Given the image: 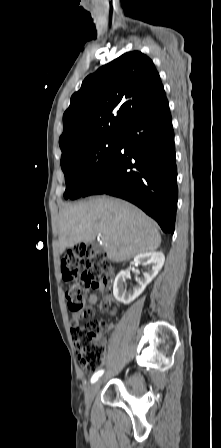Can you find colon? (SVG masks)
Segmentation results:
<instances>
[{
    "mask_svg": "<svg viewBox=\"0 0 221 448\" xmlns=\"http://www.w3.org/2000/svg\"><path fill=\"white\" fill-rule=\"evenodd\" d=\"M61 272L69 283L66 289L68 308L81 312L85 318L83 325L72 329L79 362L86 372L93 373L104 362L107 323L93 318L92 311L86 308V301L90 290L108 287L111 264L103 251L93 246L76 245L63 254Z\"/></svg>",
    "mask_w": 221,
    "mask_h": 448,
    "instance_id": "obj_1",
    "label": "colon"
}]
</instances>
